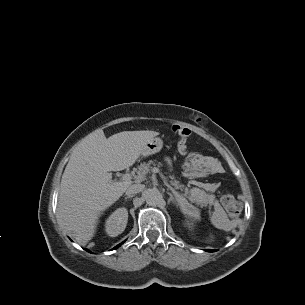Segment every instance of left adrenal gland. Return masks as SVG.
<instances>
[{"instance_id":"a2214340","label":"left adrenal gland","mask_w":305,"mask_h":305,"mask_svg":"<svg viewBox=\"0 0 305 305\" xmlns=\"http://www.w3.org/2000/svg\"><path fill=\"white\" fill-rule=\"evenodd\" d=\"M170 188V187H169ZM171 189V188H170ZM171 190H173V189H171ZM174 191V190H173ZM168 195L170 196V198H169V202H176V200H175V198H174V196H173V194L171 193V192H168ZM177 204V206L179 205V202L178 203H176Z\"/></svg>"}]
</instances>
